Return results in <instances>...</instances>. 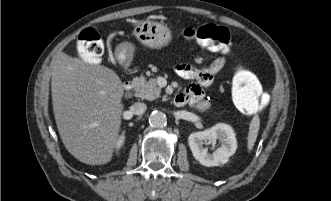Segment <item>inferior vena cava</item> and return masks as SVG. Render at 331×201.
I'll return each mask as SVG.
<instances>
[{
	"instance_id": "602c4592",
	"label": "inferior vena cava",
	"mask_w": 331,
	"mask_h": 201,
	"mask_svg": "<svg viewBox=\"0 0 331 201\" xmlns=\"http://www.w3.org/2000/svg\"><path fill=\"white\" fill-rule=\"evenodd\" d=\"M147 109V106L145 103L143 102H136L132 105L131 107V112L134 114V115H143L145 113Z\"/></svg>"
}]
</instances>
